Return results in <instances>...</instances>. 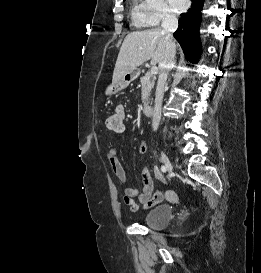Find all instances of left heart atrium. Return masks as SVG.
Returning <instances> with one entry per match:
<instances>
[{
    "instance_id": "1",
    "label": "left heart atrium",
    "mask_w": 261,
    "mask_h": 273,
    "mask_svg": "<svg viewBox=\"0 0 261 273\" xmlns=\"http://www.w3.org/2000/svg\"><path fill=\"white\" fill-rule=\"evenodd\" d=\"M170 2L177 10H183L188 5V0H170Z\"/></svg>"
}]
</instances>
